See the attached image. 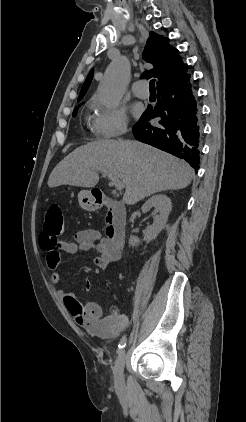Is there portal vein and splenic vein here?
<instances>
[{
  "label": "portal vein and splenic vein",
  "mask_w": 246,
  "mask_h": 422,
  "mask_svg": "<svg viewBox=\"0 0 246 422\" xmlns=\"http://www.w3.org/2000/svg\"><path fill=\"white\" fill-rule=\"evenodd\" d=\"M101 173L105 176H107L112 183L115 185V188L119 191L124 189V183L121 182L115 175H113L111 172L107 171V170H101Z\"/></svg>",
  "instance_id": "1"
}]
</instances>
